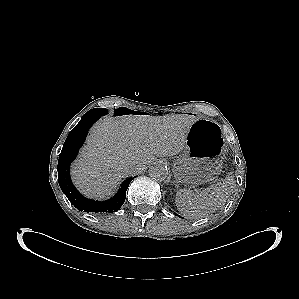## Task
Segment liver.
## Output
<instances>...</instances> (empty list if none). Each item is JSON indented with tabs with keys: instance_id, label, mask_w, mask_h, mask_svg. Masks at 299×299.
<instances>
[{
	"instance_id": "obj_1",
	"label": "liver",
	"mask_w": 299,
	"mask_h": 299,
	"mask_svg": "<svg viewBox=\"0 0 299 299\" xmlns=\"http://www.w3.org/2000/svg\"><path fill=\"white\" fill-rule=\"evenodd\" d=\"M196 120L183 114L104 118L91 129L72 166L74 184L87 197H109L123 178L140 173L156 156H172L183 150Z\"/></svg>"
}]
</instances>
